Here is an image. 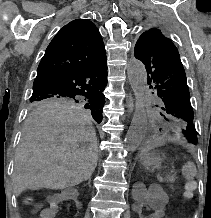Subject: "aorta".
<instances>
[{
  "instance_id": "1",
  "label": "aorta",
  "mask_w": 211,
  "mask_h": 218,
  "mask_svg": "<svg viewBox=\"0 0 211 218\" xmlns=\"http://www.w3.org/2000/svg\"><path fill=\"white\" fill-rule=\"evenodd\" d=\"M127 73L135 98V111L124 143L127 152H134L142 142L147 128V115L145 110L147 73L143 63L136 59L130 61Z\"/></svg>"
}]
</instances>
